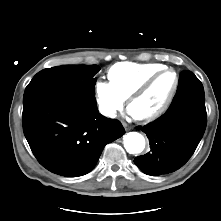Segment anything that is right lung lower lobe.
Instances as JSON below:
<instances>
[{"label":"right lung lower lobe","instance_id":"98d812e1","mask_svg":"<svg viewBox=\"0 0 221 221\" xmlns=\"http://www.w3.org/2000/svg\"><path fill=\"white\" fill-rule=\"evenodd\" d=\"M22 120L39 163L67 177L90 172L105 145L125 133L118 120L98 112L95 99L50 88L25 90Z\"/></svg>","mask_w":221,"mask_h":221}]
</instances>
